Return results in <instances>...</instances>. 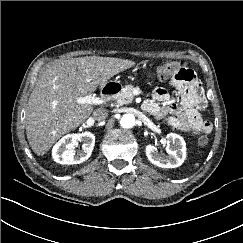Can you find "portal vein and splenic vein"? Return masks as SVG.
Instances as JSON below:
<instances>
[{
	"instance_id": "obj_1",
	"label": "portal vein and splenic vein",
	"mask_w": 243,
	"mask_h": 243,
	"mask_svg": "<svg viewBox=\"0 0 243 243\" xmlns=\"http://www.w3.org/2000/svg\"><path fill=\"white\" fill-rule=\"evenodd\" d=\"M77 102L79 104H93V105H102L105 103V99L101 97H96L92 94H88L84 97L78 98Z\"/></svg>"
}]
</instances>
